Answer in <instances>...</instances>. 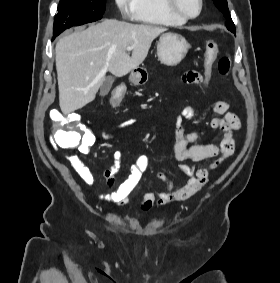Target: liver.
Listing matches in <instances>:
<instances>
[{"label":"liver","mask_w":280,"mask_h":283,"mask_svg":"<svg viewBox=\"0 0 280 283\" xmlns=\"http://www.w3.org/2000/svg\"><path fill=\"white\" fill-rule=\"evenodd\" d=\"M165 27L105 19L86 30L62 37L56 44L59 105L63 114L95 99L106 73L122 77L147 57L153 40ZM132 46V55L126 48Z\"/></svg>","instance_id":"1"}]
</instances>
